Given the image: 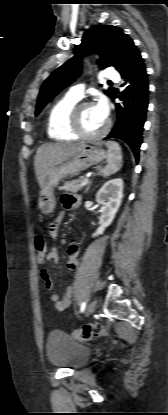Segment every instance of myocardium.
I'll return each mask as SVG.
<instances>
[{
  "label": "myocardium",
  "mask_w": 168,
  "mask_h": 415,
  "mask_svg": "<svg viewBox=\"0 0 168 415\" xmlns=\"http://www.w3.org/2000/svg\"><path fill=\"white\" fill-rule=\"evenodd\" d=\"M89 105H91L90 102L83 101V102L77 103L73 107L71 114H70V126H71L72 131L79 138L86 139V140H95V139H99L103 137L108 132L110 128V121L107 120L105 122V125L100 131L96 133H87L81 125L80 112L84 107L89 106Z\"/></svg>",
  "instance_id": "obj_1"
}]
</instances>
